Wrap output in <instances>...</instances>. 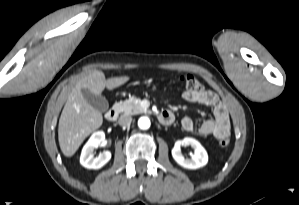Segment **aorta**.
Listing matches in <instances>:
<instances>
[{
    "mask_svg": "<svg viewBox=\"0 0 299 205\" xmlns=\"http://www.w3.org/2000/svg\"><path fill=\"white\" fill-rule=\"evenodd\" d=\"M150 120L148 117H141L139 120H138V126L140 129H143V130H146L150 127Z\"/></svg>",
    "mask_w": 299,
    "mask_h": 205,
    "instance_id": "1",
    "label": "aorta"
}]
</instances>
